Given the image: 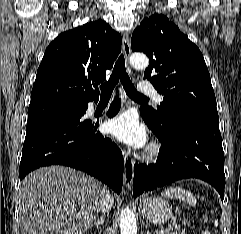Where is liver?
I'll list each match as a JSON object with an SVG mask.
<instances>
[{
	"instance_id": "liver-1",
	"label": "liver",
	"mask_w": 241,
	"mask_h": 234,
	"mask_svg": "<svg viewBox=\"0 0 241 234\" xmlns=\"http://www.w3.org/2000/svg\"><path fill=\"white\" fill-rule=\"evenodd\" d=\"M107 190L85 173L63 166L27 175L19 189L21 234H83Z\"/></svg>"
}]
</instances>
